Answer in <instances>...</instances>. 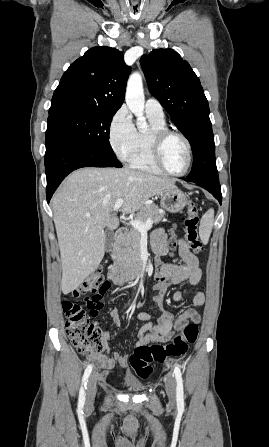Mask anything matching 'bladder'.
I'll return each instance as SVG.
<instances>
[{
    "instance_id": "obj_1",
    "label": "bladder",
    "mask_w": 269,
    "mask_h": 447,
    "mask_svg": "<svg viewBox=\"0 0 269 447\" xmlns=\"http://www.w3.org/2000/svg\"><path fill=\"white\" fill-rule=\"evenodd\" d=\"M121 384L128 392L139 394L143 389L142 381L135 375V373L123 374Z\"/></svg>"
}]
</instances>
